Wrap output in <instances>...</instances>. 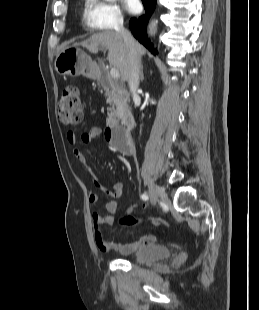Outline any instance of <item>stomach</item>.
<instances>
[{
    "label": "stomach",
    "mask_w": 259,
    "mask_h": 310,
    "mask_svg": "<svg viewBox=\"0 0 259 310\" xmlns=\"http://www.w3.org/2000/svg\"><path fill=\"white\" fill-rule=\"evenodd\" d=\"M55 69L61 75L94 77L90 57L76 46H68L57 55Z\"/></svg>",
    "instance_id": "1"
}]
</instances>
